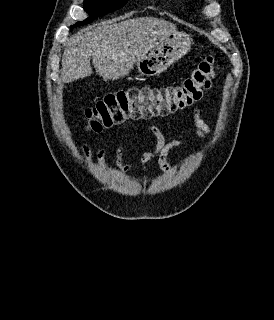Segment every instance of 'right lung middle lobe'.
<instances>
[{
	"label": "right lung middle lobe",
	"instance_id": "right-lung-middle-lobe-1",
	"mask_svg": "<svg viewBox=\"0 0 274 320\" xmlns=\"http://www.w3.org/2000/svg\"><path fill=\"white\" fill-rule=\"evenodd\" d=\"M127 1L128 0H84V9L89 13V17L84 21L72 25L70 29L72 30L79 25L88 24L103 14L115 11L123 7Z\"/></svg>",
	"mask_w": 274,
	"mask_h": 320
}]
</instances>
